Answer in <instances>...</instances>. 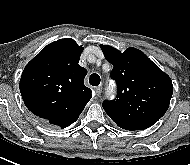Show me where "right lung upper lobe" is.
<instances>
[{"label":"right lung upper lobe","mask_w":190,"mask_h":165,"mask_svg":"<svg viewBox=\"0 0 190 165\" xmlns=\"http://www.w3.org/2000/svg\"><path fill=\"white\" fill-rule=\"evenodd\" d=\"M82 51L73 39H59L44 47L21 75L26 107L62 129L78 119L92 97L84 85L87 70L78 64Z\"/></svg>","instance_id":"cb5924a9"}]
</instances>
